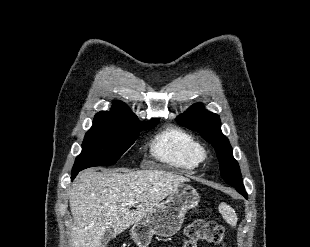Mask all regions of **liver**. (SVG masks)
I'll use <instances>...</instances> for the list:
<instances>
[{
  "label": "liver",
  "mask_w": 310,
  "mask_h": 247,
  "mask_svg": "<svg viewBox=\"0 0 310 247\" xmlns=\"http://www.w3.org/2000/svg\"><path fill=\"white\" fill-rule=\"evenodd\" d=\"M188 178L164 170L150 169L118 173H81L69 191L74 224L71 247H100L107 229L114 236L145 219L163 199ZM135 201L129 210L128 202Z\"/></svg>",
  "instance_id": "6515ba94"
}]
</instances>
